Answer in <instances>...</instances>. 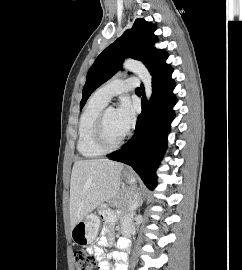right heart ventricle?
I'll return each mask as SVG.
<instances>
[{
    "instance_id": "1",
    "label": "right heart ventricle",
    "mask_w": 242,
    "mask_h": 270,
    "mask_svg": "<svg viewBox=\"0 0 242 270\" xmlns=\"http://www.w3.org/2000/svg\"><path fill=\"white\" fill-rule=\"evenodd\" d=\"M106 104L93 95L81 114L78 126L77 150L85 158H94L104 154L95 145L93 134L97 118Z\"/></svg>"
}]
</instances>
